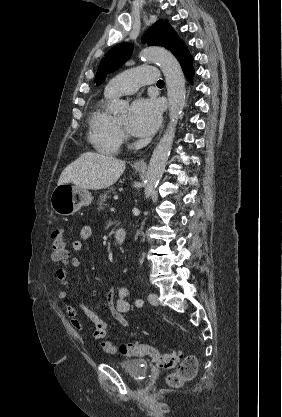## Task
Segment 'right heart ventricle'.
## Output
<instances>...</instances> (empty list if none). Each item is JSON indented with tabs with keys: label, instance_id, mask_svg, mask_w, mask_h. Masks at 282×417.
<instances>
[{
	"label": "right heart ventricle",
	"instance_id": "1",
	"mask_svg": "<svg viewBox=\"0 0 282 417\" xmlns=\"http://www.w3.org/2000/svg\"><path fill=\"white\" fill-rule=\"evenodd\" d=\"M106 100H102L89 118V141L104 152L116 151L121 143V136L115 130L113 117L106 110Z\"/></svg>",
	"mask_w": 282,
	"mask_h": 417
}]
</instances>
